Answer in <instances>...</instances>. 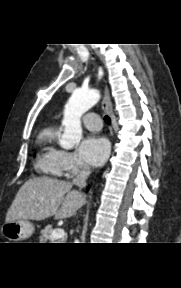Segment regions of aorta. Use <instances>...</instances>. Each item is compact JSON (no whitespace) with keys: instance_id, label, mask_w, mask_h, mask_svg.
I'll return each mask as SVG.
<instances>
[{"instance_id":"1","label":"aorta","mask_w":181,"mask_h":288,"mask_svg":"<svg viewBox=\"0 0 181 288\" xmlns=\"http://www.w3.org/2000/svg\"><path fill=\"white\" fill-rule=\"evenodd\" d=\"M100 98L97 90L76 89L64 109L62 125L64 132L59 143L64 149H71L82 138L81 116L94 106Z\"/></svg>"}]
</instances>
